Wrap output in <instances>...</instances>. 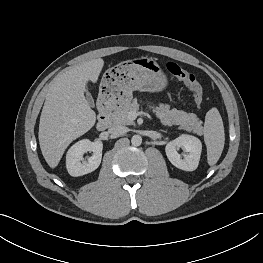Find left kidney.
<instances>
[{
    "label": "left kidney",
    "mask_w": 263,
    "mask_h": 263,
    "mask_svg": "<svg viewBox=\"0 0 263 263\" xmlns=\"http://www.w3.org/2000/svg\"><path fill=\"white\" fill-rule=\"evenodd\" d=\"M180 148H183L186 152L183 156L178 153ZM201 151V141L197 137L187 134L170 141L165 147L169 161L175 167L184 171H194L198 167Z\"/></svg>",
    "instance_id": "left-kidney-1"
}]
</instances>
